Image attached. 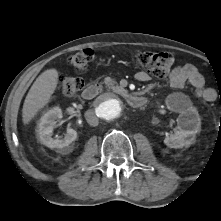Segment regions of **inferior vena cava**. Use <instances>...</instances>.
<instances>
[{"label":"inferior vena cava","instance_id":"1","mask_svg":"<svg viewBox=\"0 0 221 221\" xmlns=\"http://www.w3.org/2000/svg\"><path fill=\"white\" fill-rule=\"evenodd\" d=\"M85 117H86L87 122H88L91 126H97V125H98L99 120H98V118L95 116V114H94L93 111L88 110V111L85 113Z\"/></svg>","mask_w":221,"mask_h":221}]
</instances>
